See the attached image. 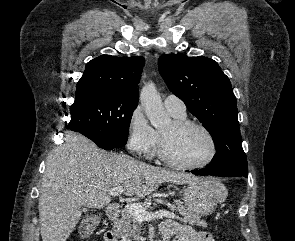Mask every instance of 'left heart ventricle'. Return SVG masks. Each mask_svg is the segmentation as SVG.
Returning <instances> with one entry per match:
<instances>
[{
  "mask_svg": "<svg viewBox=\"0 0 295 241\" xmlns=\"http://www.w3.org/2000/svg\"><path fill=\"white\" fill-rule=\"evenodd\" d=\"M161 133L166 137L169 155L177 161L195 164L204 161L210 154L208 138L195 127L176 130L171 123Z\"/></svg>",
  "mask_w": 295,
  "mask_h": 241,
  "instance_id": "b2bd125f",
  "label": "left heart ventricle"
}]
</instances>
